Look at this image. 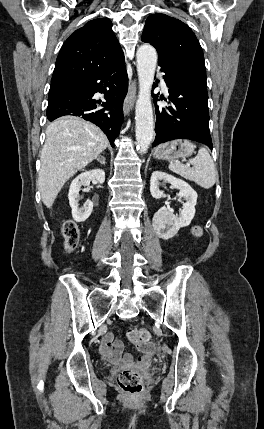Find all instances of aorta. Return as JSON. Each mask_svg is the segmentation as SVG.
Returning a JSON list of instances; mask_svg holds the SVG:
<instances>
[{
	"instance_id": "1",
	"label": "aorta",
	"mask_w": 264,
	"mask_h": 429,
	"mask_svg": "<svg viewBox=\"0 0 264 429\" xmlns=\"http://www.w3.org/2000/svg\"><path fill=\"white\" fill-rule=\"evenodd\" d=\"M139 95L136 102V140L140 153H146L154 137L151 89L157 64V52L150 44L141 45L136 54Z\"/></svg>"
}]
</instances>
